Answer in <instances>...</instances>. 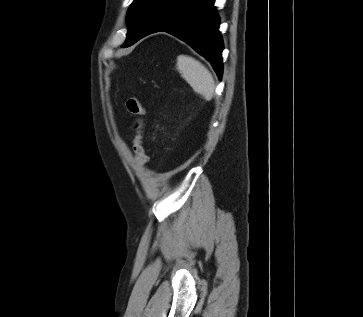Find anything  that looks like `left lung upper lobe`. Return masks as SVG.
<instances>
[{"label":"left lung upper lobe","mask_w":363,"mask_h":317,"mask_svg":"<svg viewBox=\"0 0 363 317\" xmlns=\"http://www.w3.org/2000/svg\"><path fill=\"white\" fill-rule=\"evenodd\" d=\"M158 0H134L128 10V33L123 46L137 42L149 23Z\"/></svg>","instance_id":"obj_1"}]
</instances>
